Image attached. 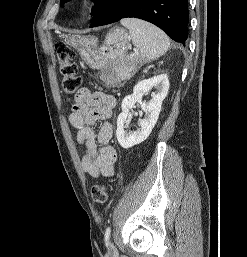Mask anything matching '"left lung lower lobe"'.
<instances>
[{
	"instance_id": "left-lung-lower-lobe-1",
	"label": "left lung lower lobe",
	"mask_w": 247,
	"mask_h": 257,
	"mask_svg": "<svg viewBox=\"0 0 247 257\" xmlns=\"http://www.w3.org/2000/svg\"><path fill=\"white\" fill-rule=\"evenodd\" d=\"M134 17L161 28L184 46L188 37V0H105L95 11L90 27Z\"/></svg>"
}]
</instances>
